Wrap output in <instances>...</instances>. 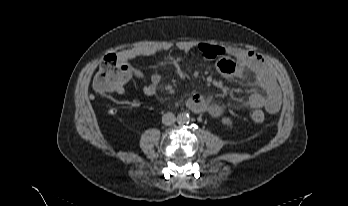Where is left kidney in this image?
<instances>
[{"label":"left kidney","mask_w":348,"mask_h":206,"mask_svg":"<svg viewBox=\"0 0 348 206\" xmlns=\"http://www.w3.org/2000/svg\"><path fill=\"white\" fill-rule=\"evenodd\" d=\"M222 123L227 125V126L232 127V120L230 118H228V117L222 118Z\"/></svg>","instance_id":"5707ae66"}]
</instances>
